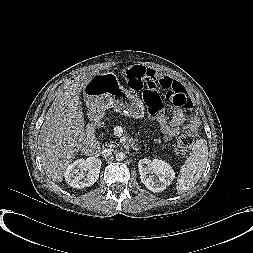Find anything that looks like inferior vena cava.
<instances>
[{
	"label": "inferior vena cava",
	"instance_id": "obj_1",
	"mask_svg": "<svg viewBox=\"0 0 253 253\" xmlns=\"http://www.w3.org/2000/svg\"><path fill=\"white\" fill-rule=\"evenodd\" d=\"M112 151H113L112 149H106V150L103 151V153H104L105 156H111Z\"/></svg>",
	"mask_w": 253,
	"mask_h": 253
}]
</instances>
